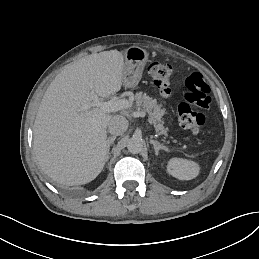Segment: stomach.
Here are the masks:
<instances>
[{
    "label": "stomach",
    "mask_w": 259,
    "mask_h": 259,
    "mask_svg": "<svg viewBox=\"0 0 259 259\" xmlns=\"http://www.w3.org/2000/svg\"><path fill=\"white\" fill-rule=\"evenodd\" d=\"M126 64L122 70L121 81L123 85L129 89L138 87L142 81L143 67L148 59L146 50L138 47L131 46L125 53Z\"/></svg>",
    "instance_id": "0dacf381"
}]
</instances>
